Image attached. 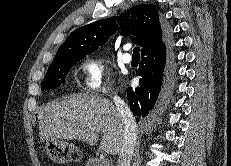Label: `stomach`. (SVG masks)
Returning a JSON list of instances; mask_svg holds the SVG:
<instances>
[{"label":"stomach","instance_id":"obj_1","mask_svg":"<svg viewBox=\"0 0 231 166\" xmlns=\"http://www.w3.org/2000/svg\"><path fill=\"white\" fill-rule=\"evenodd\" d=\"M45 147L56 163L77 162L82 159V151L77 146L61 139L48 140Z\"/></svg>","mask_w":231,"mask_h":166}]
</instances>
